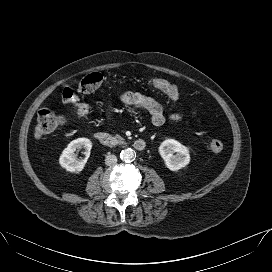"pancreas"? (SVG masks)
Returning <instances> with one entry per match:
<instances>
[{"mask_svg": "<svg viewBox=\"0 0 272 272\" xmlns=\"http://www.w3.org/2000/svg\"><path fill=\"white\" fill-rule=\"evenodd\" d=\"M115 139L119 144H124V139L120 135H115Z\"/></svg>", "mask_w": 272, "mask_h": 272, "instance_id": "cf45deb5", "label": "pancreas"}]
</instances>
